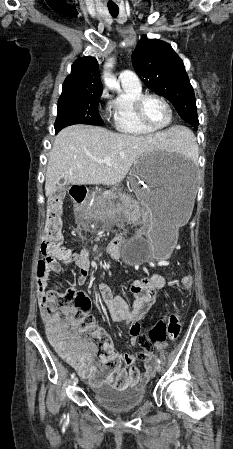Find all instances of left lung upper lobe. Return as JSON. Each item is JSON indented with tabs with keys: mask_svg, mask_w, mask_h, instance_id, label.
<instances>
[{
	"mask_svg": "<svg viewBox=\"0 0 233 449\" xmlns=\"http://www.w3.org/2000/svg\"><path fill=\"white\" fill-rule=\"evenodd\" d=\"M132 63L143 83L168 99L180 117L197 129L199 122L194 90L183 61L171 45L145 37L138 42Z\"/></svg>",
	"mask_w": 233,
	"mask_h": 449,
	"instance_id": "1",
	"label": "left lung upper lobe"
}]
</instances>
